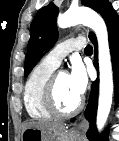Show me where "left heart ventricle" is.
Wrapping results in <instances>:
<instances>
[{
    "label": "left heart ventricle",
    "instance_id": "obj_1",
    "mask_svg": "<svg viewBox=\"0 0 119 141\" xmlns=\"http://www.w3.org/2000/svg\"><path fill=\"white\" fill-rule=\"evenodd\" d=\"M80 97L73 91L68 74L60 72L56 82V101L62 110H70L76 106Z\"/></svg>",
    "mask_w": 119,
    "mask_h": 141
}]
</instances>
